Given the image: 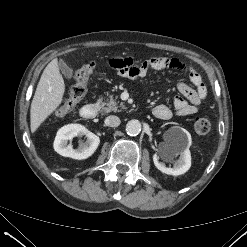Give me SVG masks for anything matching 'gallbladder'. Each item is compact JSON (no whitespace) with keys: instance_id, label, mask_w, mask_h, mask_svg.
<instances>
[{"instance_id":"1","label":"gallbladder","mask_w":247,"mask_h":247,"mask_svg":"<svg viewBox=\"0 0 247 247\" xmlns=\"http://www.w3.org/2000/svg\"><path fill=\"white\" fill-rule=\"evenodd\" d=\"M59 69L66 78H71L73 70L61 59L58 62Z\"/></svg>"}]
</instances>
